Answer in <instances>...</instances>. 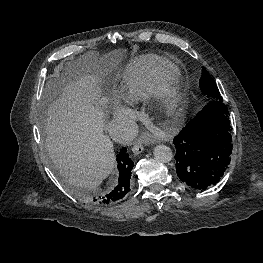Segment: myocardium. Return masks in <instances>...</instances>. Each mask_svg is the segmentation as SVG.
Returning a JSON list of instances; mask_svg holds the SVG:
<instances>
[{"mask_svg":"<svg viewBox=\"0 0 263 263\" xmlns=\"http://www.w3.org/2000/svg\"><path fill=\"white\" fill-rule=\"evenodd\" d=\"M155 111L166 121H173L180 114L184 91L177 75L160 80L151 94Z\"/></svg>","mask_w":263,"mask_h":263,"instance_id":"myocardium-1","label":"myocardium"}]
</instances>
